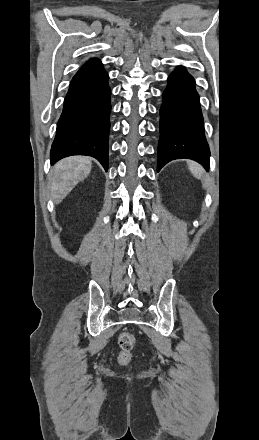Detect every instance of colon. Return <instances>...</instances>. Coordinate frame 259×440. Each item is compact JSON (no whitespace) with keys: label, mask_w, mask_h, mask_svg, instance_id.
<instances>
[{"label":"colon","mask_w":259,"mask_h":440,"mask_svg":"<svg viewBox=\"0 0 259 440\" xmlns=\"http://www.w3.org/2000/svg\"><path fill=\"white\" fill-rule=\"evenodd\" d=\"M136 343L135 336L128 332L122 331L118 337L119 344V354H118V362L121 365H128L132 359V351L134 349Z\"/></svg>","instance_id":"5ec220e1"}]
</instances>
